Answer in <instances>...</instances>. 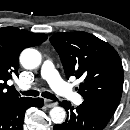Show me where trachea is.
Returning a JSON list of instances; mask_svg holds the SVG:
<instances>
[{"instance_id":"1","label":"trachea","mask_w":130,"mask_h":130,"mask_svg":"<svg viewBox=\"0 0 130 130\" xmlns=\"http://www.w3.org/2000/svg\"><path fill=\"white\" fill-rule=\"evenodd\" d=\"M20 92L22 93V95H25V96L36 97L39 95V92L36 90H28V91H24V92L20 91ZM41 95L42 97L47 98V99L58 100V98L55 95L51 94L50 92L45 91V92H42Z\"/></svg>"}]
</instances>
